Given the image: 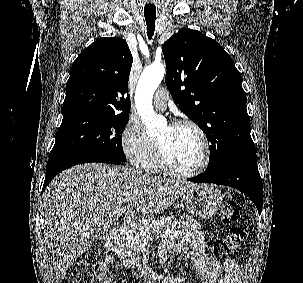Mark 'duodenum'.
<instances>
[{"label":"duodenum","instance_id":"1","mask_svg":"<svg viewBox=\"0 0 303 283\" xmlns=\"http://www.w3.org/2000/svg\"><path fill=\"white\" fill-rule=\"evenodd\" d=\"M123 233V225H118L112 232L109 234L108 244L110 247L114 246L115 242L120 238Z\"/></svg>","mask_w":303,"mask_h":283}]
</instances>
